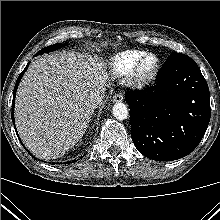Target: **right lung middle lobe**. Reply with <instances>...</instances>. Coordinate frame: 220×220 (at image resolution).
Returning <instances> with one entry per match:
<instances>
[{"label":"right lung middle lobe","mask_w":220,"mask_h":220,"mask_svg":"<svg viewBox=\"0 0 220 220\" xmlns=\"http://www.w3.org/2000/svg\"><path fill=\"white\" fill-rule=\"evenodd\" d=\"M65 44L66 43H64V44H54V45L45 47L42 50H40L37 54L44 53V52L46 53V52L55 51V50L59 49L60 47L64 46Z\"/></svg>","instance_id":"1"}]
</instances>
